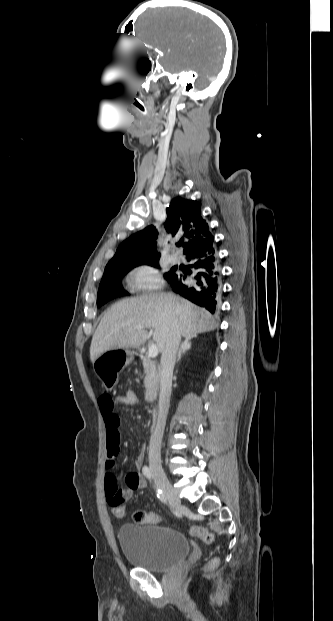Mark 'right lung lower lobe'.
<instances>
[{
  "mask_svg": "<svg viewBox=\"0 0 333 621\" xmlns=\"http://www.w3.org/2000/svg\"><path fill=\"white\" fill-rule=\"evenodd\" d=\"M185 255L193 262L189 265L192 270L181 268L183 273L173 272L166 280L175 293L214 313L221 295V271L214 245Z\"/></svg>",
  "mask_w": 333,
  "mask_h": 621,
  "instance_id": "right-lung-lower-lobe-1",
  "label": "right lung lower lobe"
}]
</instances>
